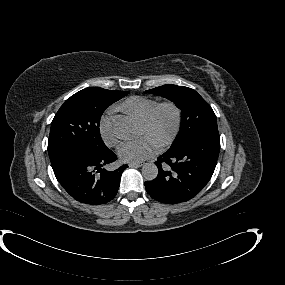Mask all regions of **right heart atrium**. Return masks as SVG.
<instances>
[{"label":"right heart atrium","mask_w":285,"mask_h":285,"mask_svg":"<svg viewBox=\"0 0 285 285\" xmlns=\"http://www.w3.org/2000/svg\"><path fill=\"white\" fill-rule=\"evenodd\" d=\"M114 122V119L112 117H109L105 119L102 124L103 136L109 144H113L117 136L114 128Z\"/></svg>","instance_id":"right-heart-atrium-1"}]
</instances>
